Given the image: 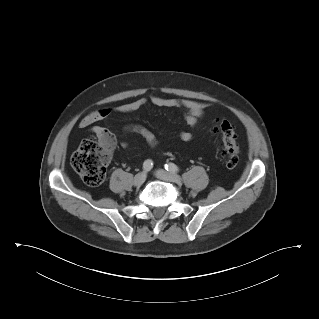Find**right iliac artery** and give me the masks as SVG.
I'll return each mask as SVG.
<instances>
[{"mask_svg": "<svg viewBox=\"0 0 319 319\" xmlns=\"http://www.w3.org/2000/svg\"><path fill=\"white\" fill-rule=\"evenodd\" d=\"M152 167H153V162H152V160H146L144 163H143V170L145 171V172H148V171H150L151 169H152Z\"/></svg>", "mask_w": 319, "mask_h": 319, "instance_id": "right-iliac-artery-1", "label": "right iliac artery"}]
</instances>
